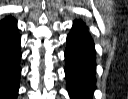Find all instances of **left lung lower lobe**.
Here are the masks:
<instances>
[{"instance_id": "0a47b994", "label": "left lung lower lobe", "mask_w": 128, "mask_h": 99, "mask_svg": "<svg viewBox=\"0 0 128 99\" xmlns=\"http://www.w3.org/2000/svg\"><path fill=\"white\" fill-rule=\"evenodd\" d=\"M65 74L71 99H92L96 88V56L88 28L75 20L67 37Z\"/></svg>"}]
</instances>
